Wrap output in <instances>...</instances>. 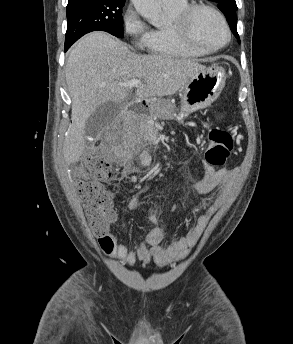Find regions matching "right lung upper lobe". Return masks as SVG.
<instances>
[{
  "label": "right lung upper lobe",
  "instance_id": "cb5924a9",
  "mask_svg": "<svg viewBox=\"0 0 293 344\" xmlns=\"http://www.w3.org/2000/svg\"><path fill=\"white\" fill-rule=\"evenodd\" d=\"M79 1H81V0H68V3H69V4H72V3L79 2Z\"/></svg>",
  "mask_w": 293,
  "mask_h": 344
}]
</instances>
